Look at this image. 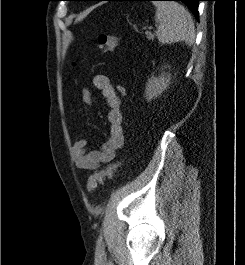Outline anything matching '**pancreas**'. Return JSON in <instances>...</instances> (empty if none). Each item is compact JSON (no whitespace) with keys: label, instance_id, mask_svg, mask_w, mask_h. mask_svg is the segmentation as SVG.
Returning <instances> with one entry per match:
<instances>
[{"label":"pancreas","instance_id":"1","mask_svg":"<svg viewBox=\"0 0 245 265\" xmlns=\"http://www.w3.org/2000/svg\"><path fill=\"white\" fill-rule=\"evenodd\" d=\"M147 38H148L149 40H153V39H154V35L147 34Z\"/></svg>","mask_w":245,"mask_h":265}]
</instances>
